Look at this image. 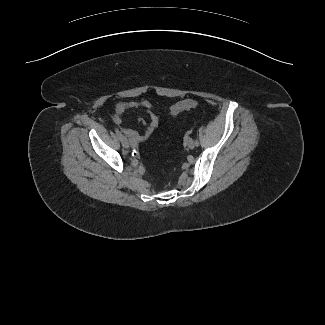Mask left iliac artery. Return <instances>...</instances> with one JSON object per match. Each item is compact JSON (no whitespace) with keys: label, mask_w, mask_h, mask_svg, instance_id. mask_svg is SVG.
Here are the masks:
<instances>
[{"label":"left iliac artery","mask_w":325,"mask_h":325,"mask_svg":"<svg viewBox=\"0 0 325 325\" xmlns=\"http://www.w3.org/2000/svg\"><path fill=\"white\" fill-rule=\"evenodd\" d=\"M195 145H196V146H198V145H199V142H198L197 140L195 141Z\"/></svg>","instance_id":"1"}]
</instances>
